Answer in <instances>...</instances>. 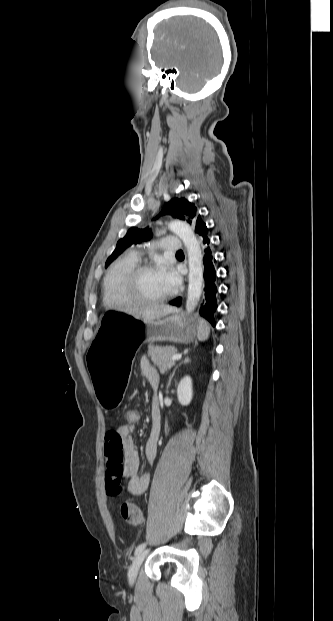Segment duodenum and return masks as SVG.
I'll return each mask as SVG.
<instances>
[{
  "label": "duodenum",
  "mask_w": 333,
  "mask_h": 621,
  "mask_svg": "<svg viewBox=\"0 0 333 621\" xmlns=\"http://www.w3.org/2000/svg\"><path fill=\"white\" fill-rule=\"evenodd\" d=\"M153 422H154L155 426H158V425H159V423H160V417H159V415H158V414H154V415H153Z\"/></svg>",
  "instance_id": "410a0bca"
}]
</instances>
